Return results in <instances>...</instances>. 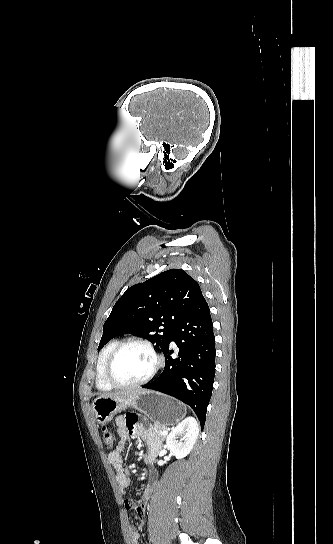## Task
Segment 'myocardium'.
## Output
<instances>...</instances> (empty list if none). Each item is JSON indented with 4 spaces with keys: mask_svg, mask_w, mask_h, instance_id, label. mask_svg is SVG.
<instances>
[{
    "mask_svg": "<svg viewBox=\"0 0 333 544\" xmlns=\"http://www.w3.org/2000/svg\"><path fill=\"white\" fill-rule=\"evenodd\" d=\"M128 346H140V347L146 349L152 355L153 360H154V365H153L151 371L149 372V374L146 377H144L143 379L135 381V382H131V383H124V382L118 381L113 376V365H114V362H115L116 358L121 353V351L123 349H125L126 347H128ZM162 366H163V358L159 354V352L156 350V348L153 346L152 343H150L149 341L143 340V339H129V340H125V341L120 342L114 348V350L110 353V355H109V357H108V359L106 361V364H105L104 376H105L106 381L110 385H112L113 387H116V388H134V387H139V386H142V385H145V384L149 383L157 375V373L162 368Z\"/></svg>",
    "mask_w": 333,
    "mask_h": 544,
    "instance_id": "f54148a6",
    "label": "myocardium"
}]
</instances>
